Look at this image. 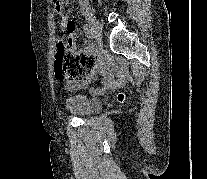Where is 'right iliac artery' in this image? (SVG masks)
Returning <instances> with one entry per match:
<instances>
[{
  "instance_id": "right-iliac-artery-1",
  "label": "right iliac artery",
  "mask_w": 207,
  "mask_h": 179,
  "mask_svg": "<svg viewBox=\"0 0 207 179\" xmlns=\"http://www.w3.org/2000/svg\"><path fill=\"white\" fill-rule=\"evenodd\" d=\"M83 30H84V33L87 36V38H89V39L94 38L93 31L91 30V28L88 25H84Z\"/></svg>"
}]
</instances>
